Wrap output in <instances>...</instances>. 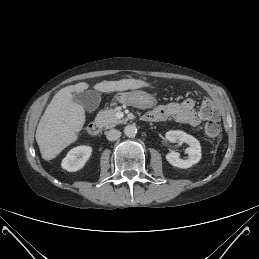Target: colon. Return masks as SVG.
Returning a JSON list of instances; mask_svg holds the SVG:
<instances>
[{
  "instance_id": "obj_1",
  "label": "colon",
  "mask_w": 259,
  "mask_h": 259,
  "mask_svg": "<svg viewBox=\"0 0 259 259\" xmlns=\"http://www.w3.org/2000/svg\"><path fill=\"white\" fill-rule=\"evenodd\" d=\"M203 113L209 116L204 126V134L209 139H214L220 134V125L217 122V112L209 98H204L201 105Z\"/></svg>"
}]
</instances>
